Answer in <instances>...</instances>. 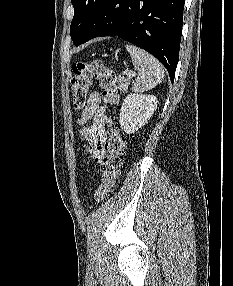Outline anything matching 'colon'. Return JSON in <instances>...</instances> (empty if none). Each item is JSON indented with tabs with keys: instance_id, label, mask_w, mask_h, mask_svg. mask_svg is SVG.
<instances>
[{
	"instance_id": "colon-1",
	"label": "colon",
	"mask_w": 233,
	"mask_h": 286,
	"mask_svg": "<svg viewBox=\"0 0 233 286\" xmlns=\"http://www.w3.org/2000/svg\"><path fill=\"white\" fill-rule=\"evenodd\" d=\"M72 73V101L75 108L85 106L92 80L102 89L106 105L114 107L118 103L115 74L101 61L76 62L72 65ZM109 126V136L105 142L106 155L101 164V182L94 194L96 202L104 200L115 188L125 152L124 141L113 119L109 120Z\"/></svg>"
}]
</instances>
